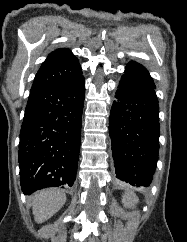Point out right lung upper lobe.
I'll list each match as a JSON object with an SVG mask.
<instances>
[{"label": "right lung upper lobe", "mask_w": 187, "mask_h": 242, "mask_svg": "<svg viewBox=\"0 0 187 242\" xmlns=\"http://www.w3.org/2000/svg\"><path fill=\"white\" fill-rule=\"evenodd\" d=\"M82 74L78 59L66 48L51 52L33 81L30 92H37L70 82Z\"/></svg>", "instance_id": "obj_1"}]
</instances>
